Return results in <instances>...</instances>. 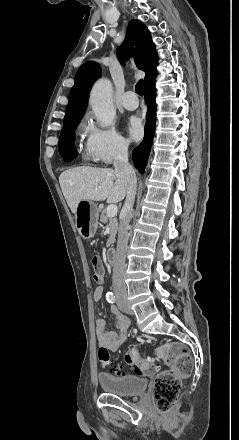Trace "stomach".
<instances>
[{
	"label": "stomach",
	"mask_w": 239,
	"mask_h": 440,
	"mask_svg": "<svg viewBox=\"0 0 239 440\" xmlns=\"http://www.w3.org/2000/svg\"><path fill=\"white\" fill-rule=\"evenodd\" d=\"M99 208L93 200H81L75 214V226L79 236L90 240L98 228Z\"/></svg>",
	"instance_id": "0dacf381"
}]
</instances>
